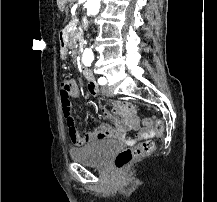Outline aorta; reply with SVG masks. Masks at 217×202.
Masks as SVG:
<instances>
[{"instance_id": "obj_1", "label": "aorta", "mask_w": 217, "mask_h": 202, "mask_svg": "<svg viewBox=\"0 0 217 202\" xmlns=\"http://www.w3.org/2000/svg\"><path fill=\"white\" fill-rule=\"evenodd\" d=\"M100 2L101 0H87L86 2V8H87V14H91V16H96L100 10ZM93 60V52L91 48H86L83 52V62H88V64H91Z\"/></svg>"}]
</instances>
